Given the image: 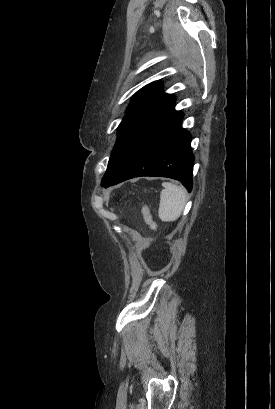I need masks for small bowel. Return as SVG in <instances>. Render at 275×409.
I'll return each mask as SVG.
<instances>
[{
    "label": "small bowel",
    "instance_id": "c3829d8e",
    "mask_svg": "<svg viewBox=\"0 0 275 409\" xmlns=\"http://www.w3.org/2000/svg\"><path fill=\"white\" fill-rule=\"evenodd\" d=\"M143 212H144L146 221H147L149 224H152L151 217L149 216L148 211H147L146 209H144ZM152 226H154V225L152 224Z\"/></svg>",
    "mask_w": 275,
    "mask_h": 409
}]
</instances>
